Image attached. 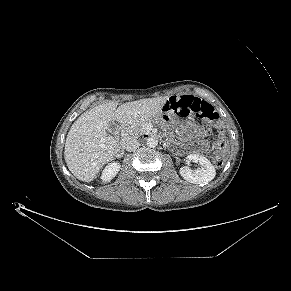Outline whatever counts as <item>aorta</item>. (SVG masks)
I'll list each match as a JSON object with an SVG mask.
<instances>
[{"mask_svg":"<svg viewBox=\"0 0 291 291\" xmlns=\"http://www.w3.org/2000/svg\"><path fill=\"white\" fill-rule=\"evenodd\" d=\"M157 144H158V139L156 137H149L147 139V146L148 147L154 148L157 146Z\"/></svg>","mask_w":291,"mask_h":291,"instance_id":"1","label":"aorta"}]
</instances>
